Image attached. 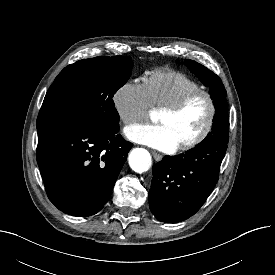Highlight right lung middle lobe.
<instances>
[{"label":"right lung middle lobe","instance_id":"1","mask_svg":"<svg viewBox=\"0 0 275 275\" xmlns=\"http://www.w3.org/2000/svg\"><path fill=\"white\" fill-rule=\"evenodd\" d=\"M132 65L130 57L99 56L64 68L44 98L38 138L75 127L119 128L112 98L128 81Z\"/></svg>","mask_w":275,"mask_h":275}]
</instances>
